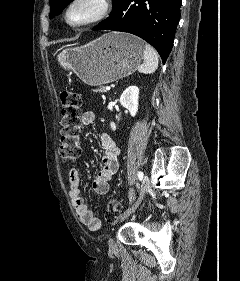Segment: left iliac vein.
I'll return each mask as SVG.
<instances>
[{
	"instance_id": "obj_1",
	"label": "left iliac vein",
	"mask_w": 240,
	"mask_h": 281,
	"mask_svg": "<svg viewBox=\"0 0 240 281\" xmlns=\"http://www.w3.org/2000/svg\"><path fill=\"white\" fill-rule=\"evenodd\" d=\"M149 186H150L149 178L147 175H145L142 180L141 190H140V195H139L138 200L133 204L132 207H130L129 209H127L124 212V214L120 217V222H122L127 217H129L138 208V206L140 205L147 190L149 189ZM109 248H110V251H112V252H115V250H116V246H115V243L112 238L109 239Z\"/></svg>"
}]
</instances>
